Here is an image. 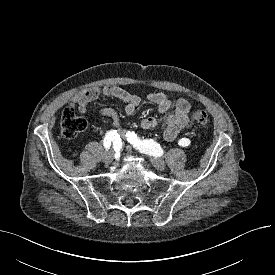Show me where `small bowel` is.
I'll return each instance as SVG.
<instances>
[{
	"label": "small bowel",
	"mask_w": 275,
	"mask_h": 275,
	"mask_svg": "<svg viewBox=\"0 0 275 275\" xmlns=\"http://www.w3.org/2000/svg\"><path fill=\"white\" fill-rule=\"evenodd\" d=\"M100 96L116 98L125 102L124 112L127 116L133 115L141 103L139 96L125 88L106 86L102 88L88 87L79 90L70 97L69 104L71 107L77 108L79 112L85 113L88 110L89 104ZM148 99L157 106L160 113L166 114L163 130V135L166 140H174L182 130L189 129L192 126V120L189 118L191 106L186 99L180 98L172 102L162 92L151 93ZM100 114L110 118L113 130L119 134L122 140H125L127 134L125 130L119 128V117L116 111L111 108H102ZM157 126V119L151 116L141 121V127L144 130L154 129Z\"/></svg>",
	"instance_id": "c3829d8e"
}]
</instances>
